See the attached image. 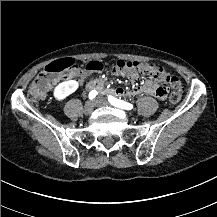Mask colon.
Here are the masks:
<instances>
[{"label": "colon", "mask_w": 217, "mask_h": 217, "mask_svg": "<svg viewBox=\"0 0 217 217\" xmlns=\"http://www.w3.org/2000/svg\"><path fill=\"white\" fill-rule=\"evenodd\" d=\"M118 71L124 72L126 75L129 73H140L147 74L155 78L157 81L164 82L169 88L181 87L180 80L160 66H155L152 63H140L130 60H119L114 65ZM79 69V62L75 58H64L63 60H58L54 64H50L42 72L41 76L35 79L32 83L29 92L28 99L31 101H36L41 97L45 96L49 88L58 85L63 75L67 73H75ZM170 94L169 101L171 103H178L182 94L173 91Z\"/></svg>", "instance_id": "colon-1"}]
</instances>
